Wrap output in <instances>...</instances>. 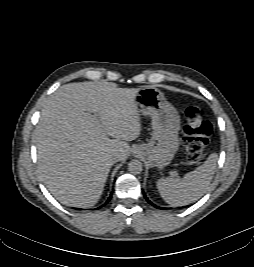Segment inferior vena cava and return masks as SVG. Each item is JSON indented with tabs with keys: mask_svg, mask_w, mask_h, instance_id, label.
Instances as JSON below:
<instances>
[{
	"mask_svg": "<svg viewBox=\"0 0 254 267\" xmlns=\"http://www.w3.org/2000/svg\"><path fill=\"white\" fill-rule=\"evenodd\" d=\"M113 161L117 162L118 161V155H116L115 157H113Z\"/></svg>",
	"mask_w": 254,
	"mask_h": 267,
	"instance_id": "1",
	"label": "inferior vena cava"
}]
</instances>
